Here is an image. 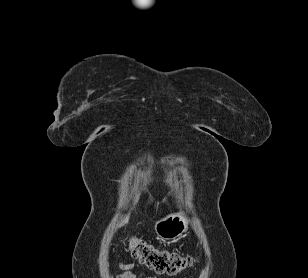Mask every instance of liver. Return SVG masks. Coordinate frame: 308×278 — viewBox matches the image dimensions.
Here are the masks:
<instances>
[{
  "mask_svg": "<svg viewBox=\"0 0 308 278\" xmlns=\"http://www.w3.org/2000/svg\"><path fill=\"white\" fill-rule=\"evenodd\" d=\"M138 199H139V195L136 196L135 202H137ZM128 220H129V216H126L125 219L123 220V222L120 224V226L126 224L128 222Z\"/></svg>",
  "mask_w": 308,
  "mask_h": 278,
  "instance_id": "1",
  "label": "liver"
}]
</instances>
